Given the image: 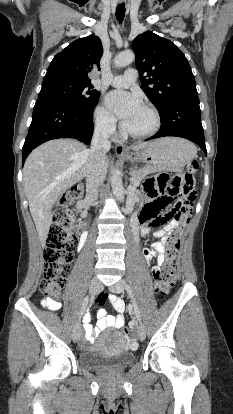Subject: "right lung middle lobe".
Wrapping results in <instances>:
<instances>
[{
    "instance_id": "obj_1",
    "label": "right lung middle lobe",
    "mask_w": 233,
    "mask_h": 414,
    "mask_svg": "<svg viewBox=\"0 0 233 414\" xmlns=\"http://www.w3.org/2000/svg\"><path fill=\"white\" fill-rule=\"evenodd\" d=\"M100 93L93 85L62 76L44 77L38 98H52L70 106L94 109Z\"/></svg>"
}]
</instances>
